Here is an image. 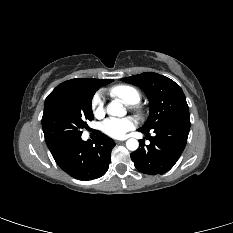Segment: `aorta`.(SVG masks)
<instances>
[{"mask_svg":"<svg viewBox=\"0 0 233 233\" xmlns=\"http://www.w3.org/2000/svg\"><path fill=\"white\" fill-rule=\"evenodd\" d=\"M106 112L111 116L117 117H122L126 114V110L123 108V105L118 101H112L109 103L106 108ZM126 147L128 150L135 151L139 147V142L134 138H130L126 141Z\"/></svg>","mask_w":233,"mask_h":233,"instance_id":"1","label":"aorta"}]
</instances>
